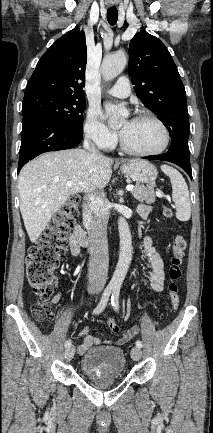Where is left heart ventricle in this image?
Returning <instances> with one entry per match:
<instances>
[{
	"label": "left heart ventricle",
	"instance_id": "obj_1",
	"mask_svg": "<svg viewBox=\"0 0 213 433\" xmlns=\"http://www.w3.org/2000/svg\"><path fill=\"white\" fill-rule=\"evenodd\" d=\"M119 134L130 148L137 151L155 150L163 142L161 129L149 120H124Z\"/></svg>",
	"mask_w": 213,
	"mask_h": 433
}]
</instances>
